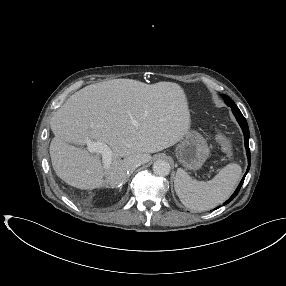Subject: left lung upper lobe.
Here are the masks:
<instances>
[{
  "label": "left lung upper lobe",
  "instance_id": "left-lung-upper-lobe-1",
  "mask_svg": "<svg viewBox=\"0 0 286 286\" xmlns=\"http://www.w3.org/2000/svg\"><path fill=\"white\" fill-rule=\"evenodd\" d=\"M222 97L225 100V103L229 107H231V109H233V108H237L238 109V107L235 105V103L233 102V100L229 96L222 94Z\"/></svg>",
  "mask_w": 286,
  "mask_h": 286
}]
</instances>
